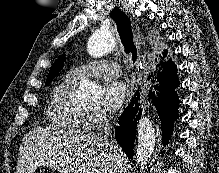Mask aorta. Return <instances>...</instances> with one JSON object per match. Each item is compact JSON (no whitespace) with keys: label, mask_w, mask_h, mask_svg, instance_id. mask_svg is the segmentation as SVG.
Returning a JSON list of instances; mask_svg holds the SVG:
<instances>
[{"label":"aorta","mask_w":219,"mask_h":173,"mask_svg":"<svg viewBox=\"0 0 219 173\" xmlns=\"http://www.w3.org/2000/svg\"><path fill=\"white\" fill-rule=\"evenodd\" d=\"M116 45L115 37L109 29L100 28L88 39L87 51L93 58L102 57L111 52ZM78 95L84 100H95L101 94V87L89 80H83L78 86ZM138 146L135 154L137 166L148 163L155 147V134L149 118L142 117L137 125Z\"/></svg>","instance_id":"1"}]
</instances>
